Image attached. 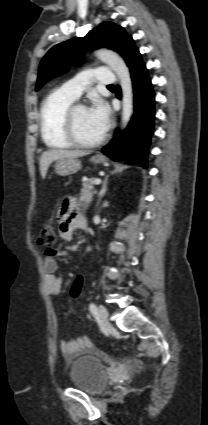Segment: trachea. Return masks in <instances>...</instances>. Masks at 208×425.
<instances>
[{"instance_id":"trachea-1","label":"trachea","mask_w":208,"mask_h":425,"mask_svg":"<svg viewBox=\"0 0 208 425\" xmlns=\"http://www.w3.org/2000/svg\"><path fill=\"white\" fill-rule=\"evenodd\" d=\"M108 87H114L113 85H108Z\"/></svg>"}]
</instances>
